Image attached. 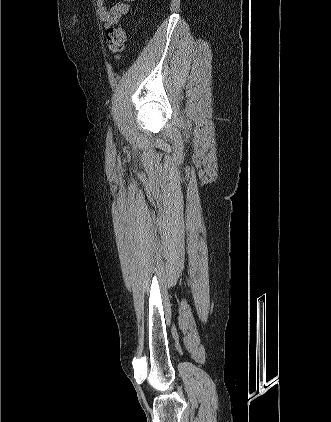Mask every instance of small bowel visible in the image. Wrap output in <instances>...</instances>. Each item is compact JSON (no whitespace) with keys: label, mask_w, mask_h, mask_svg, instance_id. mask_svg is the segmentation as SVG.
I'll return each instance as SVG.
<instances>
[{"label":"small bowel","mask_w":331,"mask_h":422,"mask_svg":"<svg viewBox=\"0 0 331 422\" xmlns=\"http://www.w3.org/2000/svg\"><path fill=\"white\" fill-rule=\"evenodd\" d=\"M133 0L117 1L112 7H106V0H96L98 15L104 27H110L119 22V20L130 11L128 2Z\"/></svg>","instance_id":"1"}]
</instances>
